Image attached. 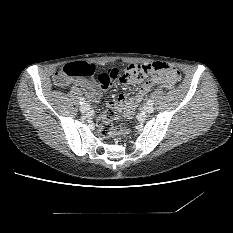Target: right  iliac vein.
Masks as SVG:
<instances>
[{"label":"right iliac vein","mask_w":233,"mask_h":233,"mask_svg":"<svg viewBox=\"0 0 233 233\" xmlns=\"http://www.w3.org/2000/svg\"><path fill=\"white\" fill-rule=\"evenodd\" d=\"M89 110H90V106L87 105V104H85V105H83V106L80 107V111L82 113H87Z\"/></svg>","instance_id":"obj_1"}]
</instances>
